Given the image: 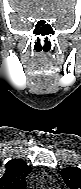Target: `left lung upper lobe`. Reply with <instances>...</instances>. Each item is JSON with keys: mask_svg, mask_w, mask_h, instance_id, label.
Wrapping results in <instances>:
<instances>
[{"mask_svg": "<svg viewBox=\"0 0 81 189\" xmlns=\"http://www.w3.org/2000/svg\"><path fill=\"white\" fill-rule=\"evenodd\" d=\"M61 175L70 189H81V169L67 167L61 171Z\"/></svg>", "mask_w": 81, "mask_h": 189, "instance_id": "left-lung-upper-lobe-1", "label": "left lung upper lobe"}]
</instances>
